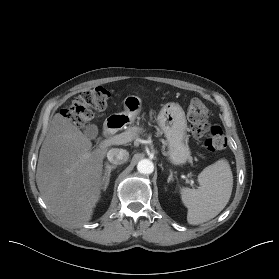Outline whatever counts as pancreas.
<instances>
[{
    "label": "pancreas",
    "instance_id": "obj_1",
    "mask_svg": "<svg viewBox=\"0 0 279 279\" xmlns=\"http://www.w3.org/2000/svg\"><path fill=\"white\" fill-rule=\"evenodd\" d=\"M142 131H143L142 128L133 126V127L128 128V130L126 132L130 133L132 135V137L134 138V137L138 136L140 133H142Z\"/></svg>",
    "mask_w": 279,
    "mask_h": 279
}]
</instances>
